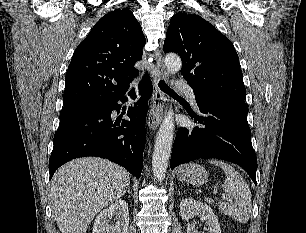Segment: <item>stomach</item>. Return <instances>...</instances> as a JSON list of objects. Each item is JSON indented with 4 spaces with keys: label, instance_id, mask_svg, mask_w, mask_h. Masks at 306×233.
<instances>
[{
    "label": "stomach",
    "instance_id": "obj_1",
    "mask_svg": "<svg viewBox=\"0 0 306 233\" xmlns=\"http://www.w3.org/2000/svg\"><path fill=\"white\" fill-rule=\"evenodd\" d=\"M177 177L192 185H202L208 179L206 169L194 162L182 165L177 171Z\"/></svg>",
    "mask_w": 306,
    "mask_h": 233
}]
</instances>
